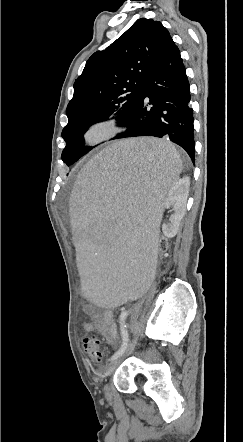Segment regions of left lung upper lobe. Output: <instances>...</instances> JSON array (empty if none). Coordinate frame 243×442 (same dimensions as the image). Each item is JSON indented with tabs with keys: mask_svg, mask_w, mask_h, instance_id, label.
<instances>
[{
	"mask_svg": "<svg viewBox=\"0 0 243 442\" xmlns=\"http://www.w3.org/2000/svg\"><path fill=\"white\" fill-rule=\"evenodd\" d=\"M170 34L161 22L137 20L103 51L95 52L75 80L74 95L62 131L66 147L62 160L69 166L92 150L83 134L97 122L114 115L124 124L136 111L146 75Z\"/></svg>",
	"mask_w": 243,
	"mask_h": 442,
	"instance_id": "1",
	"label": "left lung upper lobe"
}]
</instances>
